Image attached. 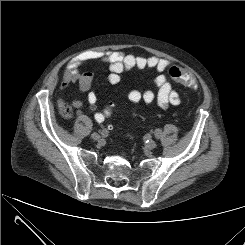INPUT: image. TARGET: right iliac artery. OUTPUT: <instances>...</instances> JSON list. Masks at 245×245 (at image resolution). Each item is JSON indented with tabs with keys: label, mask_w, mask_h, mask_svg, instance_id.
I'll use <instances>...</instances> for the list:
<instances>
[{
	"label": "right iliac artery",
	"mask_w": 245,
	"mask_h": 245,
	"mask_svg": "<svg viewBox=\"0 0 245 245\" xmlns=\"http://www.w3.org/2000/svg\"><path fill=\"white\" fill-rule=\"evenodd\" d=\"M101 134H102V136H106V135H107V130H103V131L101 132Z\"/></svg>",
	"instance_id": "1"
}]
</instances>
